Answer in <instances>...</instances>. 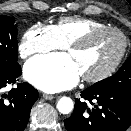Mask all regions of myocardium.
Segmentation results:
<instances>
[{
  "mask_svg": "<svg viewBox=\"0 0 131 131\" xmlns=\"http://www.w3.org/2000/svg\"><path fill=\"white\" fill-rule=\"evenodd\" d=\"M106 32H111V33H115L119 35L123 41L122 48L119 54L117 55V57L115 58V60L105 70L94 75H82V78L84 81L95 83V82H100L108 78L109 76H111L112 73L118 68V66L120 65L121 61L123 60L126 54V51L129 45L128 38L118 28L106 26V27L90 30L66 45L67 50H70L72 48H77V47H83L95 36L106 33Z\"/></svg>",
  "mask_w": 131,
  "mask_h": 131,
  "instance_id": "obj_1",
  "label": "myocardium"
}]
</instances>
